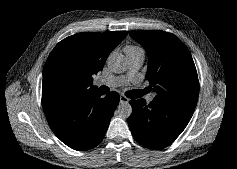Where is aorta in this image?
<instances>
[{
  "label": "aorta",
  "instance_id": "762f6f07",
  "mask_svg": "<svg viewBox=\"0 0 237 169\" xmlns=\"http://www.w3.org/2000/svg\"><path fill=\"white\" fill-rule=\"evenodd\" d=\"M108 68L116 74L123 73L128 68L127 58L123 54H111L107 60ZM116 113L121 118H128L132 114V106L126 101H122L116 110Z\"/></svg>",
  "mask_w": 237,
  "mask_h": 169
}]
</instances>
